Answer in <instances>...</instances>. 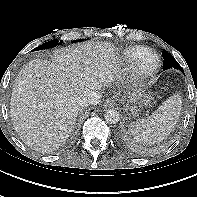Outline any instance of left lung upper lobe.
Here are the masks:
<instances>
[{"mask_svg": "<svg viewBox=\"0 0 197 197\" xmlns=\"http://www.w3.org/2000/svg\"><path fill=\"white\" fill-rule=\"evenodd\" d=\"M162 55L164 58L163 70H166L169 68H176V69H179L180 71L184 72L182 67L178 64V62L174 59V57L171 54H169L167 51L163 50Z\"/></svg>", "mask_w": 197, "mask_h": 197, "instance_id": "1", "label": "left lung upper lobe"}]
</instances>
